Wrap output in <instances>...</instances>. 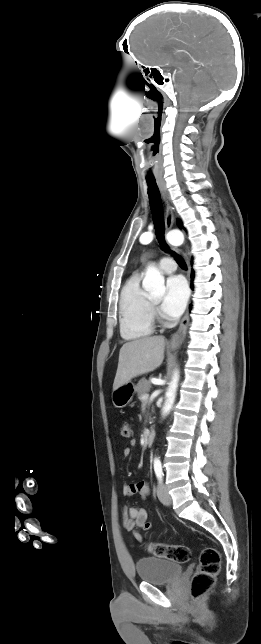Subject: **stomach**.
I'll use <instances>...</instances> for the list:
<instances>
[{"mask_svg":"<svg viewBox=\"0 0 261 644\" xmlns=\"http://www.w3.org/2000/svg\"><path fill=\"white\" fill-rule=\"evenodd\" d=\"M177 347H171V349H176ZM136 392V386L131 382L120 386L118 389L112 392V403L116 408L126 407L133 399V396Z\"/></svg>","mask_w":261,"mask_h":644,"instance_id":"0dacf381","label":"stomach"}]
</instances>
